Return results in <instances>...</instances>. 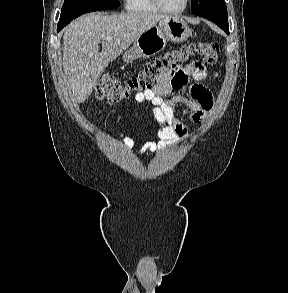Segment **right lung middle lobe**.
Instances as JSON below:
<instances>
[{
    "label": "right lung middle lobe",
    "instance_id": "right-lung-middle-lobe-1",
    "mask_svg": "<svg viewBox=\"0 0 288 293\" xmlns=\"http://www.w3.org/2000/svg\"><path fill=\"white\" fill-rule=\"evenodd\" d=\"M119 0H65L57 28H63L78 16L101 9H114Z\"/></svg>",
    "mask_w": 288,
    "mask_h": 293
}]
</instances>
